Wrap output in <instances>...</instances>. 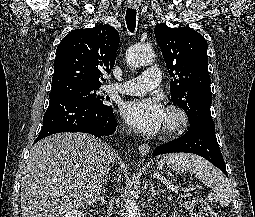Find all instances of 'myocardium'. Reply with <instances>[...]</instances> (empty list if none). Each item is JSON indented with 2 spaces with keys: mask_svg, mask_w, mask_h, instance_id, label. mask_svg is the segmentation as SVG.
<instances>
[{
  "mask_svg": "<svg viewBox=\"0 0 255 217\" xmlns=\"http://www.w3.org/2000/svg\"><path fill=\"white\" fill-rule=\"evenodd\" d=\"M166 113L176 118L174 125L163 129L162 137L164 139H172L182 135L189 126V117L186 111L178 105H169L166 108Z\"/></svg>",
  "mask_w": 255,
  "mask_h": 217,
  "instance_id": "myocardium-1",
  "label": "myocardium"
}]
</instances>
